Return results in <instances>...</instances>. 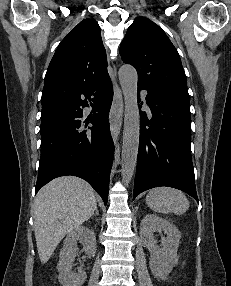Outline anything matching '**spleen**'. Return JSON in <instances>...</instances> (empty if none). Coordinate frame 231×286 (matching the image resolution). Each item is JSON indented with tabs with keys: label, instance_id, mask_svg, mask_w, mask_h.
Masks as SVG:
<instances>
[{
	"label": "spleen",
	"instance_id": "spleen-1",
	"mask_svg": "<svg viewBox=\"0 0 231 286\" xmlns=\"http://www.w3.org/2000/svg\"><path fill=\"white\" fill-rule=\"evenodd\" d=\"M146 203L157 213L184 214L189 208V200L185 194L170 187H157L149 191Z\"/></svg>",
	"mask_w": 231,
	"mask_h": 286
}]
</instances>
